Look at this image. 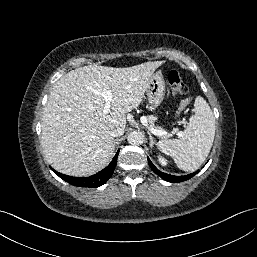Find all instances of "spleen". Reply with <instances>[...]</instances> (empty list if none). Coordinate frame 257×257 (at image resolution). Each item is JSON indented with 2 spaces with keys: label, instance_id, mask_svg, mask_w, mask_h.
Listing matches in <instances>:
<instances>
[{
  "label": "spleen",
  "instance_id": "obj_1",
  "mask_svg": "<svg viewBox=\"0 0 257 257\" xmlns=\"http://www.w3.org/2000/svg\"><path fill=\"white\" fill-rule=\"evenodd\" d=\"M194 109L195 115L178 139L157 143L158 148L171 156L177 167L184 171H195L202 165L211 150L216 130L213 112L201 96L195 99Z\"/></svg>",
  "mask_w": 257,
  "mask_h": 257
}]
</instances>
